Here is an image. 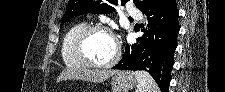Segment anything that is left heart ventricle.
Wrapping results in <instances>:
<instances>
[{"label":"left heart ventricle","instance_id":"b2bd125f","mask_svg":"<svg viewBox=\"0 0 225 92\" xmlns=\"http://www.w3.org/2000/svg\"><path fill=\"white\" fill-rule=\"evenodd\" d=\"M85 52L92 61L99 64L106 63L115 55L114 40L106 32H94L86 40Z\"/></svg>","mask_w":225,"mask_h":92}]
</instances>
